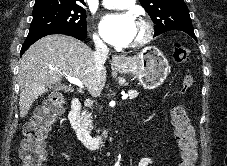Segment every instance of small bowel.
<instances>
[{
  "mask_svg": "<svg viewBox=\"0 0 227 166\" xmlns=\"http://www.w3.org/2000/svg\"><path fill=\"white\" fill-rule=\"evenodd\" d=\"M61 158L65 161H71L72 157L67 152H61ZM152 164V160L149 157L142 158L137 166H150Z\"/></svg>",
  "mask_w": 227,
  "mask_h": 166,
  "instance_id": "small-bowel-1",
  "label": "small bowel"
}]
</instances>
